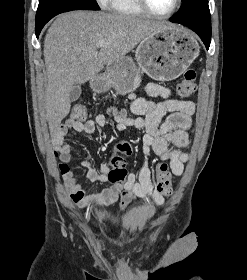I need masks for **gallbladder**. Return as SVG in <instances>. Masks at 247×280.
Returning a JSON list of instances; mask_svg holds the SVG:
<instances>
[{"instance_id":"obj_1","label":"gallbladder","mask_w":247,"mask_h":280,"mask_svg":"<svg viewBox=\"0 0 247 280\" xmlns=\"http://www.w3.org/2000/svg\"><path fill=\"white\" fill-rule=\"evenodd\" d=\"M82 93L80 85H74L73 89L70 92V101H76Z\"/></svg>"}]
</instances>
